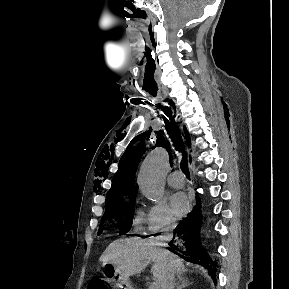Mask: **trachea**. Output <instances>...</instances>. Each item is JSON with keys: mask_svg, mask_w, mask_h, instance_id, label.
<instances>
[{"mask_svg": "<svg viewBox=\"0 0 289 289\" xmlns=\"http://www.w3.org/2000/svg\"><path fill=\"white\" fill-rule=\"evenodd\" d=\"M166 115L169 118V120L163 116V119L165 122V128H166L167 133L173 142V146L175 147V149L182 153V160L180 162V167H181L182 172L186 175V177L188 179H190V172H189V168H188L187 155L185 152V147H184L182 137L180 135V131H179L178 126H177V124H176V122L172 116V113L169 109L167 110Z\"/></svg>", "mask_w": 289, "mask_h": 289, "instance_id": "3493384b", "label": "trachea"}]
</instances>
